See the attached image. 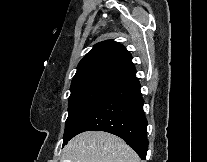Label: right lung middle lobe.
Segmentation results:
<instances>
[{
  "mask_svg": "<svg viewBox=\"0 0 207 162\" xmlns=\"http://www.w3.org/2000/svg\"><path fill=\"white\" fill-rule=\"evenodd\" d=\"M114 89L115 87L97 85L71 90L63 146L70 140L83 119Z\"/></svg>",
  "mask_w": 207,
  "mask_h": 162,
  "instance_id": "obj_1",
  "label": "right lung middle lobe"
}]
</instances>
